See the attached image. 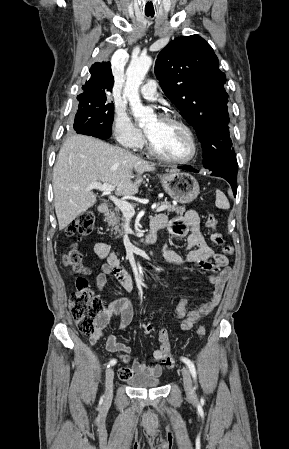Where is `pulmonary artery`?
Listing matches in <instances>:
<instances>
[{
    "mask_svg": "<svg viewBox=\"0 0 289 449\" xmlns=\"http://www.w3.org/2000/svg\"><path fill=\"white\" fill-rule=\"evenodd\" d=\"M142 97L149 101L157 99V82L153 79L148 80L140 89Z\"/></svg>",
    "mask_w": 289,
    "mask_h": 449,
    "instance_id": "pulmonary-artery-1",
    "label": "pulmonary artery"
}]
</instances>
